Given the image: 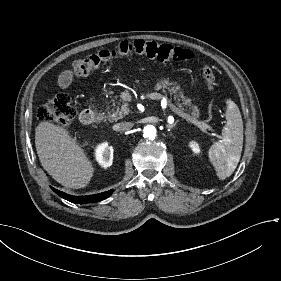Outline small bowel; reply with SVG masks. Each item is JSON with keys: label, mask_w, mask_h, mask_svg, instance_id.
<instances>
[{"label": "small bowel", "mask_w": 281, "mask_h": 281, "mask_svg": "<svg viewBox=\"0 0 281 281\" xmlns=\"http://www.w3.org/2000/svg\"><path fill=\"white\" fill-rule=\"evenodd\" d=\"M72 81H73V74L70 70L63 71L58 79L59 85L63 89L69 87Z\"/></svg>", "instance_id": "small-bowel-1"}]
</instances>
